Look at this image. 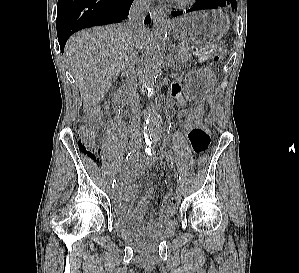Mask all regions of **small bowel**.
Returning <instances> with one entry per match:
<instances>
[{"label":"small bowel","mask_w":299,"mask_h":273,"mask_svg":"<svg viewBox=\"0 0 299 273\" xmlns=\"http://www.w3.org/2000/svg\"><path fill=\"white\" fill-rule=\"evenodd\" d=\"M171 104H176L181 116H187L191 110L188 98H186L180 91L178 85L172 87V100ZM189 143L192 150L197 153H203L209 145V135L206 127L203 125L199 127L190 128L187 130ZM152 162L148 158H135L126 167L124 177L119 184V190L117 195V203L121 211L129 213L135 216L137 219H142L150 202L155 196L154 190L147 191L139 200L134 209H132V203L135 195L139 190L138 185H130L129 183L137 180L139 177L144 175L151 167ZM165 178V174L161 175V179ZM171 194V190L168 189L164 194V203L161 205L159 210V218L165 219L171 217L176 207L166 202Z\"/></svg>","instance_id":"c3829d8e"}]
</instances>
